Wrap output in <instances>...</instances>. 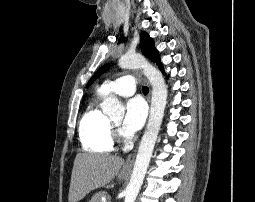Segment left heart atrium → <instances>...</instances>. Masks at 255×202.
Masks as SVG:
<instances>
[{
	"label": "left heart atrium",
	"instance_id": "1",
	"mask_svg": "<svg viewBox=\"0 0 255 202\" xmlns=\"http://www.w3.org/2000/svg\"><path fill=\"white\" fill-rule=\"evenodd\" d=\"M147 108L145 103L138 98L128 101L126 115L123 121V132L125 135H133L139 131L146 120Z\"/></svg>",
	"mask_w": 255,
	"mask_h": 202
}]
</instances>
